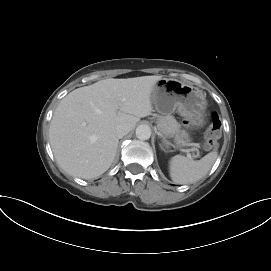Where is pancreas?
<instances>
[{"label":"pancreas","instance_id":"obj_1","mask_svg":"<svg viewBox=\"0 0 271 271\" xmlns=\"http://www.w3.org/2000/svg\"><path fill=\"white\" fill-rule=\"evenodd\" d=\"M157 127L163 134L168 136H174L176 134H180L182 136L187 135L184 130L180 129V124L171 115L158 117Z\"/></svg>","mask_w":271,"mask_h":271}]
</instances>
